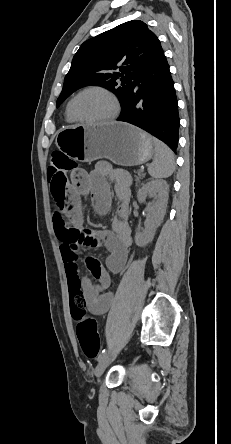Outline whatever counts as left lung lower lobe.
Masks as SVG:
<instances>
[{"instance_id":"left-lung-lower-lobe-1","label":"left lung lower lobe","mask_w":231,"mask_h":444,"mask_svg":"<svg viewBox=\"0 0 231 444\" xmlns=\"http://www.w3.org/2000/svg\"><path fill=\"white\" fill-rule=\"evenodd\" d=\"M133 83L117 120L144 129L176 152L180 122L178 104L162 48L139 71Z\"/></svg>"}]
</instances>
